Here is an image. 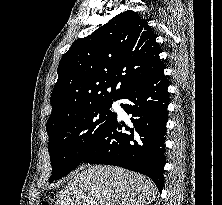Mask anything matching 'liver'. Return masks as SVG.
Returning a JSON list of instances; mask_svg holds the SVG:
<instances>
[{
  "label": "liver",
  "mask_w": 222,
  "mask_h": 205,
  "mask_svg": "<svg viewBox=\"0 0 222 205\" xmlns=\"http://www.w3.org/2000/svg\"><path fill=\"white\" fill-rule=\"evenodd\" d=\"M157 191L141 174L95 165L73 174L59 191L56 205H146L155 200Z\"/></svg>",
  "instance_id": "liver-1"
}]
</instances>
